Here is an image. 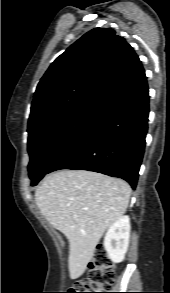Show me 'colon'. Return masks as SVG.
Wrapping results in <instances>:
<instances>
[{"label": "colon", "instance_id": "obj_1", "mask_svg": "<svg viewBox=\"0 0 170 293\" xmlns=\"http://www.w3.org/2000/svg\"><path fill=\"white\" fill-rule=\"evenodd\" d=\"M115 281V273L106 256L105 249L97 247L88 265L86 278L76 281L71 293H106Z\"/></svg>", "mask_w": 170, "mask_h": 293}]
</instances>
